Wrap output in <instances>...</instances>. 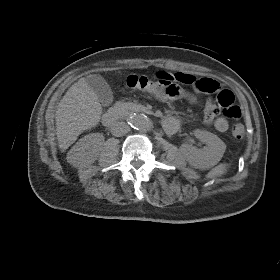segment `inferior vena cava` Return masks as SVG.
Segmentation results:
<instances>
[{"label": "inferior vena cava", "mask_w": 280, "mask_h": 280, "mask_svg": "<svg viewBox=\"0 0 280 280\" xmlns=\"http://www.w3.org/2000/svg\"><path fill=\"white\" fill-rule=\"evenodd\" d=\"M129 131V126L125 122H114L111 125V133L114 136L120 137Z\"/></svg>", "instance_id": "1"}]
</instances>
